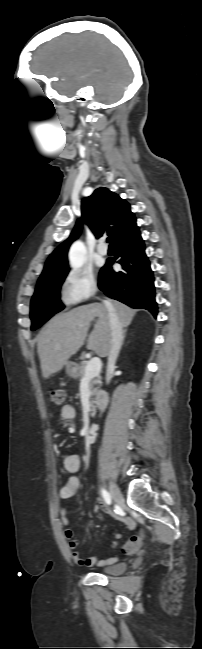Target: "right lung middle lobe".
Instances as JSON below:
<instances>
[{
	"instance_id": "dd1d6c3e",
	"label": "right lung middle lobe",
	"mask_w": 202,
	"mask_h": 649,
	"mask_svg": "<svg viewBox=\"0 0 202 649\" xmlns=\"http://www.w3.org/2000/svg\"><path fill=\"white\" fill-rule=\"evenodd\" d=\"M67 273L68 270L39 278L31 299L32 331L64 308L60 301V288Z\"/></svg>"
}]
</instances>
